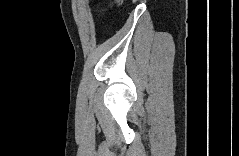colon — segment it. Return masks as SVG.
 <instances>
[{
	"mask_svg": "<svg viewBox=\"0 0 239 156\" xmlns=\"http://www.w3.org/2000/svg\"><path fill=\"white\" fill-rule=\"evenodd\" d=\"M114 4H115L116 6H119V5L121 4V0H115V1H114Z\"/></svg>",
	"mask_w": 239,
	"mask_h": 156,
	"instance_id": "obj_1",
	"label": "colon"
}]
</instances>
